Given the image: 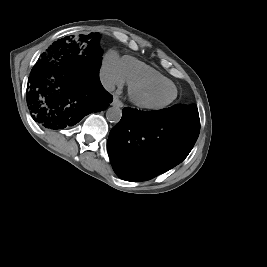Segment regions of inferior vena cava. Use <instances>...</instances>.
Instances as JSON below:
<instances>
[{
	"instance_id": "inferior-vena-cava-1",
	"label": "inferior vena cava",
	"mask_w": 267,
	"mask_h": 267,
	"mask_svg": "<svg viewBox=\"0 0 267 267\" xmlns=\"http://www.w3.org/2000/svg\"><path fill=\"white\" fill-rule=\"evenodd\" d=\"M100 81H101L103 87L107 91L111 92V91H114L115 90V84H114V82L107 75L101 74L100 75Z\"/></svg>"
}]
</instances>
